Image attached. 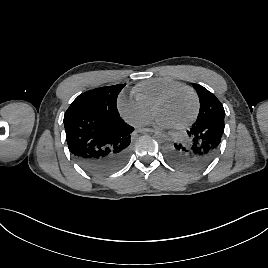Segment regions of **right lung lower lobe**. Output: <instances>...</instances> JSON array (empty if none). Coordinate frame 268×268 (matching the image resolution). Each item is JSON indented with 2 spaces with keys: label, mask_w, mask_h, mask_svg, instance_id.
I'll use <instances>...</instances> for the list:
<instances>
[{
  "label": "right lung lower lobe",
  "mask_w": 268,
  "mask_h": 268,
  "mask_svg": "<svg viewBox=\"0 0 268 268\" xmlns=\"http://www.w3.org/2000/svg\"><path fill=\"white\" fill-rule=\"evenodd\" d=\"M63 122L71 155L90 174L108 175L127 161L134 128L120 116L79 112Z\"/></svg>",
  "instance_id": "obj_1"
}]
</instances>
